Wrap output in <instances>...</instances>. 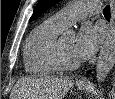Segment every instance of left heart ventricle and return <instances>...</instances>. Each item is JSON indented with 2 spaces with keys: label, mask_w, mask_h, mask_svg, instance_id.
Masks as SVG:
<instances>
[{
  "label": "left heart ventricle",
  "mask_w": 115,
  "mask_h": 99,
  "mask_svg": "<svg viewBox=\"0 0 115 99\" xmlns=\"http://www.w3.org/2000/svg\"><path fill=\"white\" fill-rule=\"evenodd\" d=\"M60 43L62 51L68 60L73 62L79 61L75 53V37L73 36L65 37L60 41Z\"/></svg>",
  "instance_id": "1"
}]
</instances>
